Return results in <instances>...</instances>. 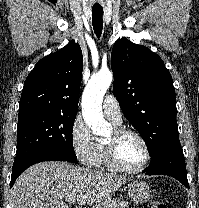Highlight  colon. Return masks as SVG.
<instances>
[{"instance_id":"5ec220e1","label":"colon","mask_w":199,"mask_h":208,"mask_svg":"<svg viewBox=\"0 0 199 208\" xmlns=\"http://www.w3.org/2000/svg\"><path fill=\"white\" fill-rule=\"evenodd\" d=\"M150 208H168L167 205L160 200H153L150 203Z\"/></svg>"}]
</instances>
